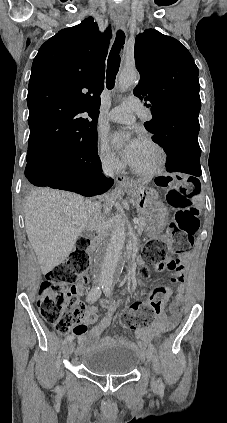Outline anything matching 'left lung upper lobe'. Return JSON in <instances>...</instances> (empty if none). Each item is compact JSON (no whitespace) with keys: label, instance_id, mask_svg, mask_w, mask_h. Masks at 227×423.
I'll use <instances>...</instances> for the list:
<instances>
[{"label":"left lung upper lobe","instance_id":"left-lung-upper-lobe-1","mask_svg":"<svg viewBox=\"0 0 227 423\" xmlns=\"http://www.w3.org/2000/svg\"><path fill=\"white\" fill-rule=\"evenodd\" d=\"M134 50L140 81L133 93L151 108L153 118L144 126L154 140L190 124L199 126V71L186 47L148 29L136 37Z\"/></svg>","mask_w":227,"mask_h":423}]
</instances>
